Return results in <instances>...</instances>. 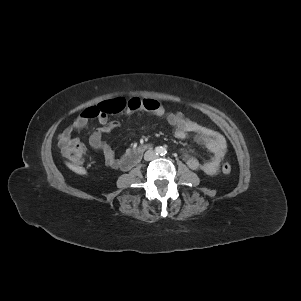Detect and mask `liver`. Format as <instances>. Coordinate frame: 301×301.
<instances>
[{"instance_id": "obj_1", "label": "liver", "mask_w": 301, "mask_h": 301, "mask_svg": "<svg viewBox=\"0 0 301 301\" xmlns=\"http://www.w3.org/2000/svg\"><path fill=\"white\" fill-rule=\"evenodd\" d=\"M68 167L74 171L75 173L81 174V175H85L87 172L84 168L79 167V166H74V165H68Z\"/></svg>"}]
</instances>
